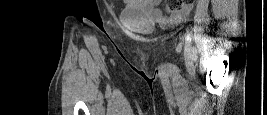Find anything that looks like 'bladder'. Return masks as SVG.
Returning a JSON list of instances; mask_svg holds the SVG:
<instances>
[{
	"label": "bladder",
	"instance_id": "1",
	"mask_svg": "<svg viewBox=\"0 0 267 115\" xmlns=\"http://www.w3.org/2000/svg\"><path fill=\"white\" fill-rule=\"evenodd\" d=\"M129 28H131L135 32L143 33V34H147V33L151 32V30H152V27L149 25H143V26L131 25V26H129Z\"/></svg>",
	"mask_w": 267,
	"mask_h": 115
}]
</instances>
